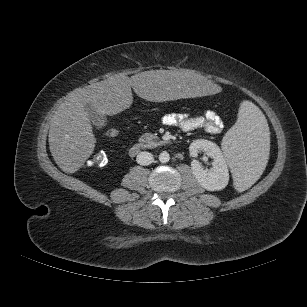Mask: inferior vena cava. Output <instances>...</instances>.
I'll use <instances>...</instances> for the list:
<instances>
[{"label":"inferior vena cava","mask_w":307,"mask_h":307,"mask_svg":"<svg viewBox=\"0 0 307 307\" xmlns=\"http://www.w3.org/2000/svg\"><path fill=\"white\" fill-rule=\"evenodd\" d=\"M136 161L139 165L147 166L154 161V157L150 152L143 151L137 155Z\"/></svg>","instance_id":"1"}]
</instances>
